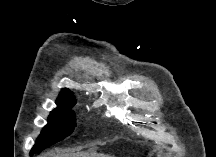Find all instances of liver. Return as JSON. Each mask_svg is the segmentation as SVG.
<instances>
[{"label":"liver","mask_w":216,"mask_h":157,"mask_svg":"<svg viewBox=\"0 0 216 157\" xmlns=\"http://www.w3.org/2000/svg\"><path fill=\"white\" fill-rule=\"evenodd\" d=\"M97 154H92V157H96ZM90 154L87 153H71V154H65V153H47L44 154V157H89Z\"/></svg>","instance_id":"obj_1"}]
</instances>
